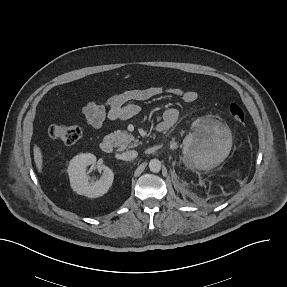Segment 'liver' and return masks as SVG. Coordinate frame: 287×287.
I'll use <instances>...</instances> for the list:
<instances>
[{
	"label": "liver",
	"mask_w": 287,
	"mask_h": 287,
	"mask_svg": "<svg viewBox=\"0 0 287 287\" xmlns=\"http://www.w3.org/2000/svg\"><path fill=\"white\" fill-rule=\"evenodd\" d=\"M34 152V162L36 164V168L39 173L42 172L43 169V155L40 147H38L36 144L33 149Z\"/></svg>",
	"instance_id": "liver-1"
}]
</instances>
